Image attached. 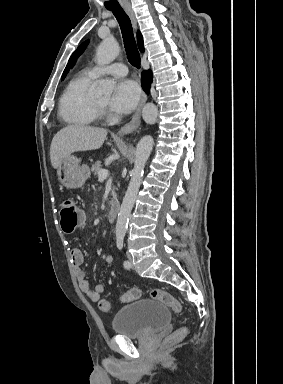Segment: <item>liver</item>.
<instances>
[{"label":"liver","mask_w":283,"mask_h":384,"mask_svg":"<svg viewBox=\"0 0 283 384\" xmlns=\"http://www.w3.org/2000/svg\"><path fill=\"white\" fill-rule=\"evenodd\" d=\"M107 134L104 128H91L85 124L62 128L51 142L50 160L53 168H59L64 158L73 152L98 150L103 146Z\"/></svg>","instance_id":"1"}]
</instances>
